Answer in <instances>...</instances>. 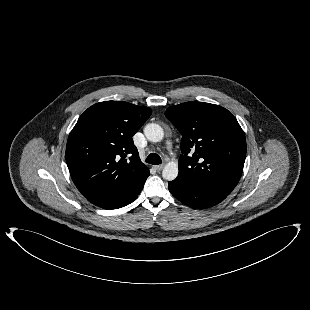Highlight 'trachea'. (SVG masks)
Wrapping results in <instances>:
<instances>
[{
    "label": "trachea",
    "mask_w": 310,
    "mask_h": 310,
    "mask_svg": "<svg viewBox=\"0 0 310 310\" xmlns=\"http://www.w3.org/2000/svg\"><path fill=\"white\" fill-rule=\"evenodd\" d=\"M146 162L153 165H158L162 163L160 156L156 153H151L146 158Z\"/></svg>",
    "instance_id": "obj_1"
}]
</instances>
